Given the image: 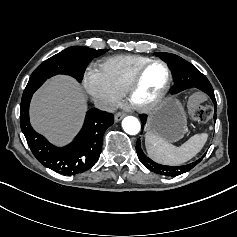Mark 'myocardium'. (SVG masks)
<instances>
[{
  "label": "myocardium",
  "instance_id": "1",
  "mask_svg": "<svg viewBox=\"0 0 237 237\" xmlns=\"http://www.w3.org/2000/svg\"><path fill=\"white\" fill-rule=\"evenodd\" d=\"M154 64H160L162 65L167 73L166 81L162 89L159 91V93L152 98L151 100L145 102V103H139L135 99V94L140 86L142 77L145 73V71ZM172 83V72L169 65L160 59H152L149 60L147 63H145L135 74L133 77L127 91H126V97L129 105L137 112L140 113H148L157 108L162 101L165 99L166 95L168 94V91L170 89Z\"/></svg>",
  "mask_w": 237,
  "mask_h": 237
}]
</instances>
